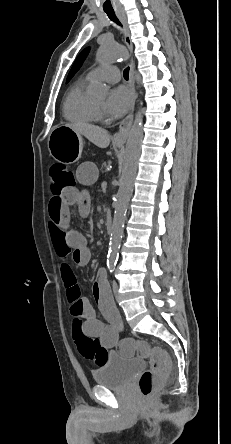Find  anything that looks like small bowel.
Returning a JSON list of instances; mask_svg holds the SVG:
<instances>
[{
    "label": "small bowel",
    "instance_id": "small-bowel-1",
    "mask_svg": "<svg viewBox=\"0 0 231 444\" xmlns=\"http://www.w3.org/2000/svg\"><path fill=\"white\" fill-rule=\"evenodd\" d=\"M75 176L80 185L90 186L97 180V168L91 162H84L78 166ZM70 207H75L81 216H86L89 211L87 193L71 187L66 189L60 198H51L48 206L49 233L55 252L61 259V277L70 303V314L83 320L82 330L87 336L97 339L105 348H112L119 341L121 324L105 273L99 272L93 284V295L99 308L109 314L107 322L99 319L95 308L86 298L80 296L69 263L70 260L73 265L85 266L91 258L85 236L69 226Z\"/></svg>",
    "mask_w": 231,
    "mask_h": 444
}]
</instances>
